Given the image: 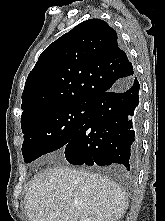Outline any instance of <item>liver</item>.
<instances>
[{"label": "liver", "mask_w": 165, "mask_h": 221, "mask_svg": "<svg viewBox=\"0 0 165 221\" xmlns=\"http://www.w3.org/2000/svg\"><path fill=\"white\" fill-rule=\"evenodd\" d=\"M24 207L30 221H116L128 199L107 177L57 166L34 178Z\"/></svg>", "instance_id": "obj_1"}]
</instances>
